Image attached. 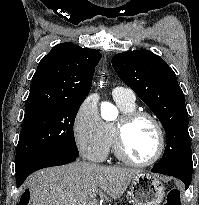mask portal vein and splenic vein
Instances as JSON below:
<instances>
[{
  "mask_svg": "<svg viewBox=\"0 0 199 205\" xmlns=\"http://www.w3.org/2000/svg\"><path fill=\"white\" fill-rule=\"evenodd\" d=\"M95 197H96V194H92V195H91V198H95Z\"/></svg>",
  "mask_w": 199,
  "mask_h": 205,
  "instance_id": "obj_1",
  "label": "portal vein and splenic vein"
}]
</instances>
